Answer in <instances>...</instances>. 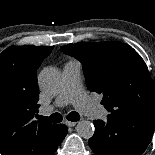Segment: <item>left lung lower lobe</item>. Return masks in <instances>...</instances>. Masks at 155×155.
<instances>
[{"instance_id":"left-lung-lower-lobe-1","label":"left lung lower lobe","mask_w":155,"mask_h":155,"mask_svg":"<svg viewBox=\"0 0 155 155\" xmlns=\"http://www.w3.org/2000/svg\"><path fill=\"white\" fill-rule=\"evenodd\" d=\"M89 146L96 155H141L155 129V115H108L95 120Z\"/></svg>"}]
</instances>
